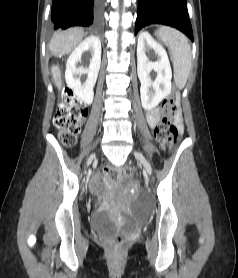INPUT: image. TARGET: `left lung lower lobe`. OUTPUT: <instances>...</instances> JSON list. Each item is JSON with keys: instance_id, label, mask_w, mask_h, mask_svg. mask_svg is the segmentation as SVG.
Here are the masks:
<instances>
[{"instance_id": "left-lung-lower-lobe-1", "label": "left lung lower lobe", "mask_w": 238, "mask_h": 278, "mask_svg": "<svg viewBox=\"0 0 238 278\" xmlns=\"http://www.w3.org/2000/svg\"><path fill=\"white\" fill-rule=\"evenodd\" d=\"M149 24L175 27L193 41L186 0H138L135 34Z\"/></svg>"}]
</instances>
